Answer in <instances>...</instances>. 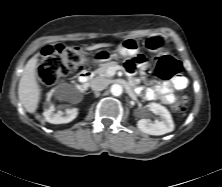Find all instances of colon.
<instances>
[{
  "label": "colon",
  "instance_id": "5ec220e1",
  "mask_svg": "<svg viewBox=\"0 0 222 187\" xmlns=\"http://www.w3.org/2000/svg\"><path fill=\"white\" fill-rule=\"evenodd\" d=\"M86 62L85 54L78 48L63 45L48 46L43 51L38 67V77L45 86L54 85L61 76L81 70ZM137 64L141 68L148 65L145 58H139ZM181 71V63L175 58L165 55L156 60L155 73L163 80L176 77ZM189 98L182 95L174 104V110L185 113Z\"/></svg>",
  "mask_w": 222,
  "mask_h": 187
}]
</instances>
